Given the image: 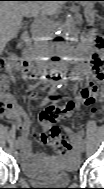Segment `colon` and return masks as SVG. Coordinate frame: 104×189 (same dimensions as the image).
Returning <instances> with one entry per match:
<instances>
[{
    "label": "colon",
    "mask_w": 104,
    "mask_h": 189,
    "mask_svg": "<svg viewBox=\"0 0 104 189\" xmlns=\"http://www.w3.org/2000/svg\"><path fill=\"white\" fill-rule=\"evenodd\" d=\"M87 38L89 39L92 49V71L97 79H102L103 77V57L102 53L104 51V37L100 34H93L91 32L87 33ZM13 60H4L3 67H8L14 65ZM2 87V86H1ZM0 105L1 109L4 110L8 101L3 96L2 92L0 94ZM74 108L72 101L67 102L64 105L58 103H50L43 109L39 114V121L43 126V131L40 135V140L47 145L52 146L59 154L65 155L72 151L73 145L68 137L62 136L60 134L59 127L56 121L66 112H70ZM94 113H98L97 108L93 109Z\"/></svg>",
    "instance_id": "obj_1"
}]
</instances>
